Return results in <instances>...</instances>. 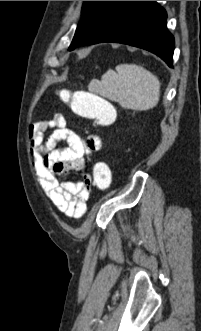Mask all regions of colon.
<instances>
[{"label": "colon", "instance_id": "obj_1", "mask_svg": "<svg viewBox=\"0 0 201 331\" xmlns=\"http://www.w3.org/2000/svg\"><path fill=\"white\" fill-rule=\"evenodd\" d=\"M61 97L79 116L93 121L100 127L111 125L116 119L112 104L100 94L91 91H62ZM112 181L111 171L107 164L98 162L93 166L92 185L98 191H106Z\"/></svg>", "mask_w": 201, "mask_h": 331}]
</instances>
